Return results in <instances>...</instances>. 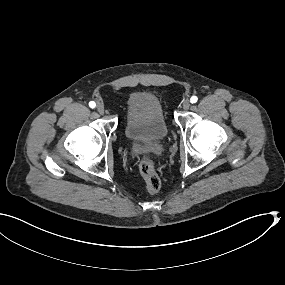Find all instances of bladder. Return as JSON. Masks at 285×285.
<instances>
[{
	"label": "bladder",
	"instance_id": "31cf9c89",
	"mask_svg": "<svg viewBox=\"0 0 285 285\" xmlns=\"http://www.w3.org/2000/svg\"><path fill=\"white\" fill-rule=\"evenodd\" d=\"M127 126L124 136L135 145L152 146L164 142L170 135L162 121V105L150 92H135L126 102Z\"/></svg>",
	"mask_w": 285,
	"mask_h": 285
}]
</instances>
